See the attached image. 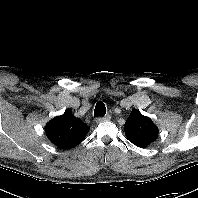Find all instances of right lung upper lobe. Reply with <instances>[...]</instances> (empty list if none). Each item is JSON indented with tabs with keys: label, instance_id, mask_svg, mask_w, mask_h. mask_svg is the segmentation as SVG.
<instances>
[{
	"label": "right lung upper lobe",
	"instance_id": "right-lung-upper-lobe-1",
	"mask_svg": "<svg viewBox=\"0 0 198 198\" xmlns=\"http://www.w3.org/2000/svg\"><path fill=\"white\" fill-rule=\"evenodd\" d=\"M89 127L69 110L61 116L54 117L46 124L45 132L56 146L71 149L80 144L89 131Z\"/></svg>",
	"mask_w": 198,
	"mask_h": 198
}]
</instances>
